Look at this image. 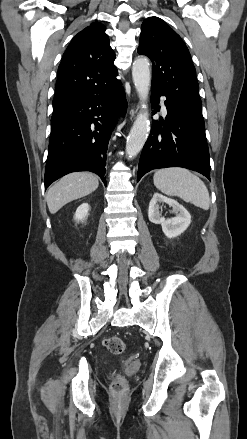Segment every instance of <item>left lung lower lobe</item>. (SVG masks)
Instances as JSON below:
<instances>
[{"instance_id":"1","label":"left lung lower lobe","mask_w":247,"mask_h":439,"mask_svg":"<svg viewBox=\"0 0 247 439\" xmlns=\"http://www.w3.org/2000/svg\"><path fill=\"white\" fill-rule=\"evenodd\" d=\"M160 96H166V120L153 122L141 153L137 182L150 170L166 167L188 168L210 180L209 150L202 112L151 87L153 106L159 103Z\"/></svg>"}]
</instances>
